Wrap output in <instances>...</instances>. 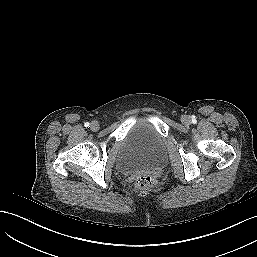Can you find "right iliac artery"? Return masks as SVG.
<instances>
[{
	"label": "right iliac artery",
	"instance_id": "obj_1",
	"mask_svg": "<svg viewBox=\"0 0 257 257\" xmlns=\"http://www.w3.org/2000/svg\"><path fill=\"white\" fill-rule=\"evenodd\" d=\"M84 126H85L86 128H89V127H90V124H89L88 122H86V123L84 124Z\"/></svg>",
	"mask_w": 257,
	"mask_h": 257
}]
</instances>
